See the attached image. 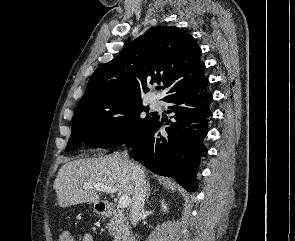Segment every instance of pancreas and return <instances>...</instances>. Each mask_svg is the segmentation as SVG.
Instances as JSON below:
<instances>
[{
    "instance_id": "cf45deb5",
    "label": "pancreas",
    "mask_w": 295,
    "mask_h": 241,
    "mask_svg": "<svg viewBox=\"0 0 295 241\" xmlns=\"http://www.w3.org/2000/svg\"><path fill=\"white\" fill-rule=\"evenodd\" d=\"M107 228L109 234L114 237V241H121L129 232L127 219L119 211L113 212V217L107 224Z\"/></svg>"
}]
</instances>
